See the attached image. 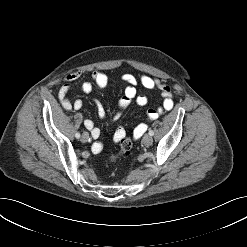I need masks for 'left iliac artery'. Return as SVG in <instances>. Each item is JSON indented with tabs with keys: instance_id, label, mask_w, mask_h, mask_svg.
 <instances>
[{
	"instance_id": "44dca946",
	"label": "left iliac artery",
	"mask_w": 247,
	"mask_h": 247,
	"mask_svg": "<svg viewBox=\"0 0 247 247\" xmlns=\"http://www.w3.org/2000/svg\"><path fill=\"white\" fill-rule=\"evenodd\" d=\"M149 135L150 136H153L154 135V132L152 130L149 131Z\"/></svg>"
}]
</instances>
